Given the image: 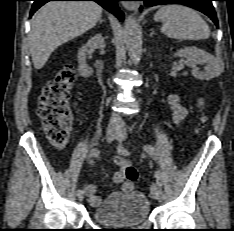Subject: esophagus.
<instances>
[{"instance_id":"obj_1","label":"esophagus","mask_w":234,"mask_h":231,"mask_svg":"<svg viewBox=\"0 0 234 231\" xmlns=\"http://www.w3.org/2000/svg\"><path fill=\"white\" fill-rule=\"evenodd\" d=\"M125 7L129 10H132V9H137V6L134 5V4H126Z\"/></svg>"}]
</instances>
